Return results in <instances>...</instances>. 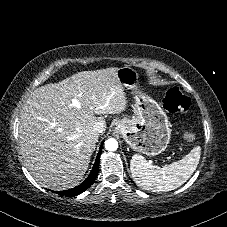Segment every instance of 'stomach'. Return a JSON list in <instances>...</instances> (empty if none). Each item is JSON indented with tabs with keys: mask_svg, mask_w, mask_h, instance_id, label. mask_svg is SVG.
Instances as JSON below:
<instances>
[{
	"mask_svg": "<svg viewBox=\"0 0 227 227\" xmlns=\"http://www.w3.org/2000/svg\"><path fill=\"white\" fill-rule=\"evenodd\" d=\"M117 77L123 87L132 89L137 115L115 123V131L135 151L148 156L159 155L167 148L171 129L170 122L161 106L149 96L138 91L139 73L130 66L118 69Z\"/></svg>",
	"mask_w": 227,
	"mask_h": 227,
	"instance_id": "obj_1",
	"label": "stomach"
}]
</instances>
